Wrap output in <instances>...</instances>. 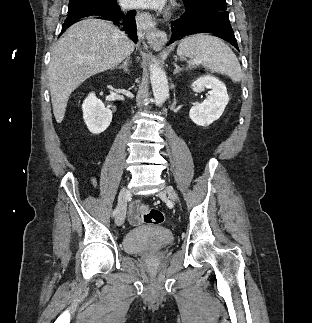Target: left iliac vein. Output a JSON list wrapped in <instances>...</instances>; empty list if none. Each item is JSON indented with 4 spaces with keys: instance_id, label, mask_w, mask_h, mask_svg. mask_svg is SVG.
Returning <instances> with one entry per match:
<instances>
[{
    "instance_id": "left-iliac-vein-1",
    "label": "left iliac vein",
    "mask_w": 312,
    "mask_h": 323,
    "mask_svg": "<svg viewBox=\"0 0 312 323\" xmlns=\"http://www.w3.org/2000/svg\"><path fill=\"white\" fill-rule=\"evenodd\" d=\"M159 194H168V197L173 200L176 201L177 200V196L174 192V190L170 187V186H166L164 189L159 191Z\"/></svg>"
}]
</instances>
